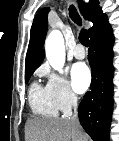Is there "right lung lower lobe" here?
Returning <instances> with one entry per match:
<instances>
[{
  "instance_id": "1",
  "label": "right lung lower lobe",
  "mask_w": 119,
  "mask_h": 141,
  "mask_svg": "<svg viewBox=\"0 0 119 141\" xmlns=\"http://www.w3.org/2000/svg\"><path fill=\"white\" fill-rule=\"evenodd\" d=\"M90 42L91 90L79 104V118L82 127L94 141H108L113 110L114 36L107 18L94 29Z\"/></svg>"
}]
</instances>
